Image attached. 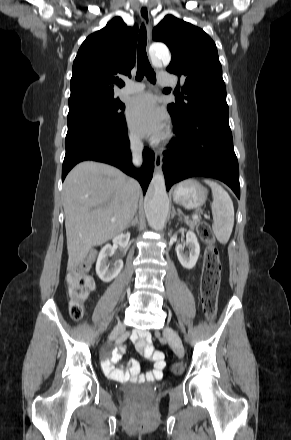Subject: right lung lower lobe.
<instances>
[{
	"instance_id": "obj_1",
	"label": "right lung lower lobe",
	"mask_w": 291,
	"mask_h": 440,
	"mask_svg": "<svg viewBox=\"0 0 291 440\" xmlns=\"http://www.w3.org/2000/svg\"><path fill=\"white\" fill-rule=\"evenodd\" d=\"M125 117L114 123L76 117L68 119L66 154L62 167V181L79 162L94 160L111 164L140 182L146 193L154 170V153L143 151V165L140 170L132 166Z\"/></svg>"
}]
</instances>
